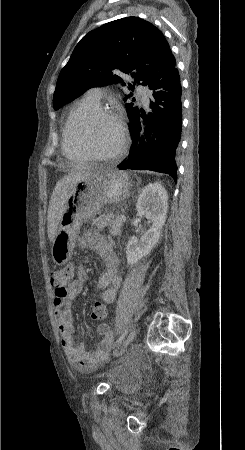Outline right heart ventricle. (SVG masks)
I'll use <instances>...</instances> for the list:
<instances>
[{
    "label": "right heart ventricle",
    "mask_w": 245,
    "mask_h": 450,
    "mask_svg": "<svg viewBox=\"0 0 245 450\" xmlns=\"http://www.w3.org/2000/svg\"><path fill=\"white\" fill-rule=\"evenodd\" d=\"M99 108V103L91 100L87 95L72 105L62 133V152L67 158L76 162L89 160L74 142L73 127L76 122L82 121L88 114Z\"/></svg>",
    "instance_id": "1"
}]
</instances>
